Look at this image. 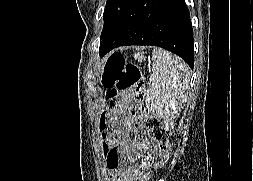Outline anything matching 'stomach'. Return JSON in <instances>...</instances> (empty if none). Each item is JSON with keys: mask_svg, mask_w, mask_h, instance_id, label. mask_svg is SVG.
Listing matches in <instances>:
<instances>
[{"mask_svg": "<svg viewBox=\"0 0 253 181\" xmlns=\"http://www.w3.org/2000/svg\"><path fill=\"white\" fill-rule=\"evenodd\" d=\"M134 58L135 60H138L139 62H142L145 60V58L142 55H140L139 52L134 54Z\"/></svg>", "mask_w": 253, "mask_h": 181, "instance_id": "obj_1", "label": "stomach"}]
</instances>
